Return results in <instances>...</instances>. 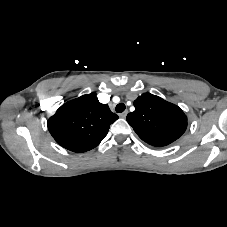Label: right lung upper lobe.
<instances>
[{
  "instance_id": "1",
  "label": "right lung upper lobe",
  "mask_w": 227,
  "mask_h": 227,
  "mask_svg": "<svg viewBox=\"0 0 227 227\" xmlns=\"http://www.w3.org/2000/svg\"><path fill=\"white\" fill-rule=\"evenodd\" d=\"M117 119L108 105L100 103L96 93H91L63 104L47 124L59 145L82 153L98 146Z\"/></svg>"
}]
</instances>
